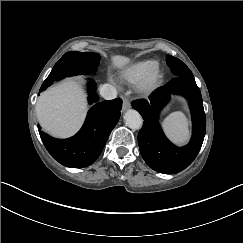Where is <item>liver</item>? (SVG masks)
<instances>
[{"mask_svg":"<svg viewBox=\"0 0 243 243\" xmlns=\"http://www.w3.org/2000/svg\"><path fill=\"white\" fill-rule=\"evenodd\" d=\"M127 62L116 57L118 66ZM38 120L43 128L55 136L66 137L73 134L85 116L84 96L74 80H67L43 93L36 105Z\"/></svg>","mask_w":243,"mask_h":243,"instance_id":"6515ba94","label":"liver"}]
</instances>
